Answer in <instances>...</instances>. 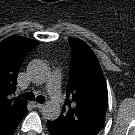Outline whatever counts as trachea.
<instances>
[{
    "instance_id": "1",
    "label": "trachea",
    "mask_w": 135,
    "mask_h": 135,
    "mask_svg": "<svg viewBox=\"0 0 135 135\" xmlns=\"http://www.w3.org/2000/svg\"><path fill=\"white\" fill-rule=\"evenodd\" d=\"M24 99L26 100H36L39 103H43L45 101V97L44 96H37L35 98L34 94L31 92H27L22 96Z\"/></svg>"
}]
</instances>
